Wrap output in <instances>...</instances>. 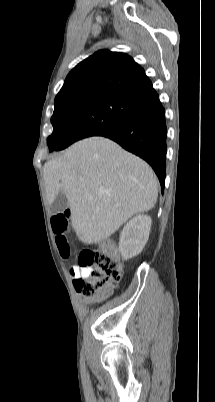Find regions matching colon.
Here are the masks:
<instances>
[{"label": "colon", "mask_w": 215, "mask_h": 402, "mask_svg": "<svg viewBox=\"0 0 215 402\" xmlns=\"http://www.w3.org/2000/svg\"><path fill=\"white\" fill-rule=\"evenodd\" d=\"M67 217V214H58L52 218L55 241L63 258L70 256V245L65 235L68 226ZM76 265L91 268L89 276L74 280L76 291L85 299L106 296L110 285L121 278V266L110 241L101 242L97 250L82 251L77 257Z\"/></svg>", "instance_id": "obj_1"}]
</instances>
